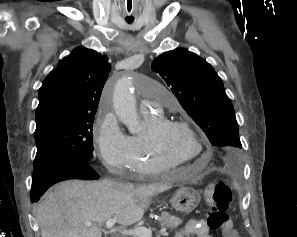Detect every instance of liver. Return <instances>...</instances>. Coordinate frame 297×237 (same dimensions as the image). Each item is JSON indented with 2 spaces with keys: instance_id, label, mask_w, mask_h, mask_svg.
<instances>
[{
  "instance_id": "liver-1",
  "label": "liver",
  "mask_w": 297,
  "mask_h": 237,
  "mask_svg": "<svg viewBox=\"0 0 297 237\" xmlns=\"http://www.w3.org/2000/svg\"><path fill=\"white\" fill-rule=\"evenodd\" d=\"M171 186L135 187L103 180L64 181L46 192L35 207L41 237H101V225L111 218L123 226L142 219L152 196ZM86 222L92 225L87 227Z\"/></svg>"
}]
</instances>
